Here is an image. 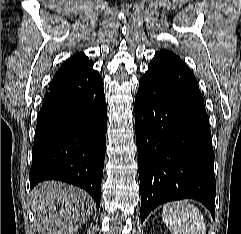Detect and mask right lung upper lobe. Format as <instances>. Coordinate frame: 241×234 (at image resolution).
I'll return each mask as SVG.
<instances>
[{
	"mask_svg": "<svg viewBox=\"0 0 241 234\" xmlns=\"http://www.w3.org/2000/svg\"><path fill=\"white\" fill-rule=\"evenodd\" d=\"M93 63L91 60L88 59V57L85 56L83 53L75 54L74 56H71L56 72L54 79L65 76L68 74H71L75 71H78L87 65Z\"/></svg>",
	"mask_w": 241,
	"mask_h": 234,
	"instance_id": "1",
	"label": "right lung upper lobe"
}]
</instances>
